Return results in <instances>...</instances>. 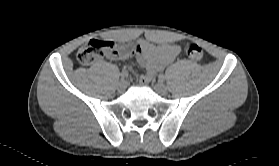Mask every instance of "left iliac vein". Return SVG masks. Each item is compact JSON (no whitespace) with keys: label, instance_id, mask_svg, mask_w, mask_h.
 <instances>
[{"label":"left iliac vein","instance_id":"obj_1","mask_svg":"<svg viewBox=\"0 0 279 166\" xmlns=\"http://www.w3.org/2000/svg\"><path fill=\"white\" fill-rule=\"evenodd\" d=\"M154 88H155L156 92L161 95H166L168 93V88L163 82L156 83Z\"/></svg>","mask_w":279,"mask_h":166}]
</instances>
